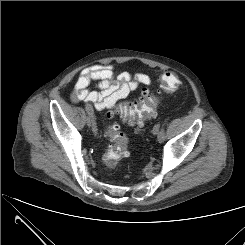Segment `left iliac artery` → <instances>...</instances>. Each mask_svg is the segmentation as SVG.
I'll return each instance as SVG.
<instances>
[{"label": "left iliac artery", "mask_w": 245, "mask_h": 245, "mask_svg": "<svg viewBox=\"0 0 245 245\" xmlns=\"http://www.w3.org/2000/svg\"><path fill=\"white\" fill-rule=\"evenodd\" d=\"M169 119H165V123L168 122ZM165 123L162 125V127L160 126L159 130H160V136L162 139H165Z\"/></svg>", "instance_id": "left-iliac-artery-1"}]
</instances>
